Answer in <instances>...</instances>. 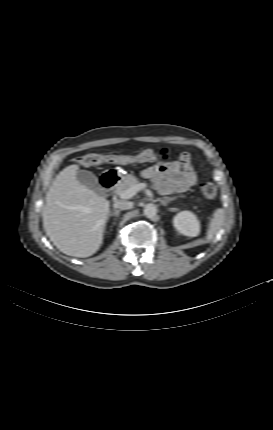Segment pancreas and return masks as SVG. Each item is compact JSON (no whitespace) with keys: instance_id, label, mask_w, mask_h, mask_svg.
<instances>
[{"instance_id":"1","label":"pancreas","mask_w":273,"mask_h":430,"mask_svg":"<svg viewBox=\"0 0 273 430\" xmlns=\"http://www.w3.org/2000/svg\"><path fill=\"white\" fill-rule=\"evenodd\" d=\"M139 184V181L136 177H134L131 174H128L126 176H124L123 180L121 183H119L116 187V193H120V192H124L126 191L128 188ZM197 201L199 202L200 199H197Z\"/></svg>"}]
</instances>
